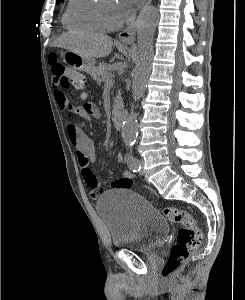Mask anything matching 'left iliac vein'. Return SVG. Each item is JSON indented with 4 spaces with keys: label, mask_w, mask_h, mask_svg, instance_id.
<instances>
[{
    "label": "left iliac vein",
    "mask_w": 245,
    "mask_h": 300,
    "mask_svg": "<svg viewBox=\"0 0 245 300\" xmlns=\"http://www.w3.org/2000/svg\"><path fill=\"white\" fill-rule=\"evenodd\" d=\"M139 164L141 165V168H142L143 165H144V160H143V159H140V160H139ZM140 173H143V169H141Z\"/></svg>",
    "instance_id": "4c4485c4"
}]
</instances>
